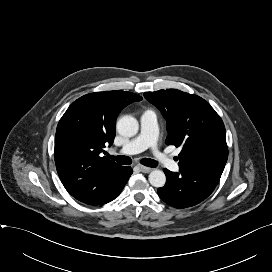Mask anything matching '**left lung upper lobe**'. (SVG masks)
Returning a JSON list of instances; mask_svg holds the SVG:
<instances>
[{
  "label": "left lung upper lobe",
  "instance_id": "1",
  "mask_svg": "<svg viewBox=\"0 0 272 272\" xmlns=\"http://www.w3.org/2000/svg\"><path fill=\"white\" fill-rule=\"evenodd\" d=\"M167 123L166 144L182 147L180 168L223 172L228 158L223 121L203 98L176 89L144 93Z\"/></svg>",
  "mask_w": 272,
  "mask_h": 272
}]
</instances>
